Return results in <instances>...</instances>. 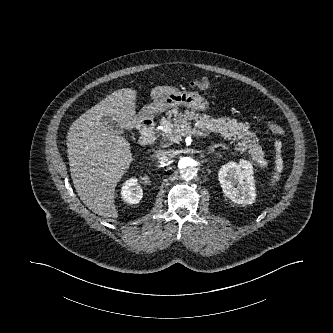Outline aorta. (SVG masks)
Masks as SVG:
<instances>
[{"label":"aorta","mask_w":333,"mask_h":333,"mask_svg":"<svg viewBox=\"0 0 333 333\" xmlns=\"http://www.w3.org/2000/svg\"><path fill=\"white\" fill-rule=\"evenodd\" d=\"M176 166L181 178L190 181L198 174V165L195 159L190 156H180L176 160Z\"/></svg>","instance_id":"762f6f07"}]
</instances>
